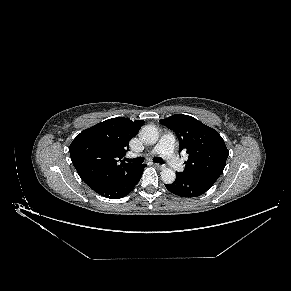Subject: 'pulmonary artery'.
Instances as JSON below:
<instances>
[{"mask_svg": "<svg viewBox=\"0 0 291 291\" xmlns=\"http://www.w3.org/2000/svg\"><path fill=\"white\" fill-rule=\"evenodd\" d=\"M175 137L171 133L164 134L159 142L148 152L149 155H161L168 164L177 171H182L184 166L174 152Z\"/></svg>", "mask_w": 291, "mask_h": 291, "instance_id": "pulmonary-artery-1", "label": "pulmonary artery"}]
</instances>
